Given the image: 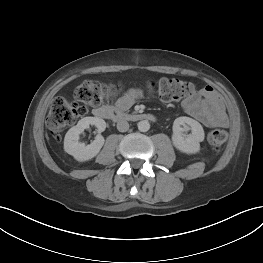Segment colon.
Here are the masks:
<instances>
[{
	"label": "colon",
	"mask_w": 263,
	"mask_h": 263,
	"mask_svg": "<svg viewBox=\"0 0 263 263\" xmlns=\"http://www.w3.org/2000/svg\"><path fill=\"white\" fill-rule=\"evenodd\" d=\"M147 90L156 93L164 102H173L191 97L195 93V86L178 78H161L159 81L148 82ZM120 91L119 84L92 80L83 82L74 92L75 99L83 105L69 102L62 97L53 100L47 118L49 131L54 137H60L65 128L74 124L86 113V106L101 105L117 96ZM226 141L225 130L215 129L208 134V142L215 149H220Z\"/></svg>",
	"instance_id": "obj_1"
}]
</instances>
